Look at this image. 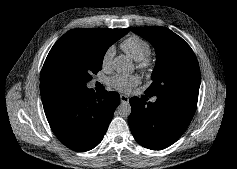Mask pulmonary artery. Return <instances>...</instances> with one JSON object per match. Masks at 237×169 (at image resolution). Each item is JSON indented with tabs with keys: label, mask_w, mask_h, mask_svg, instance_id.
I'll return each mask as SVG.
<instances>
[{
	"label": "pulmonary artery",
	"mask_w": 237,
	"mask_h": 169,
	"mask_svg": "<svg viewBox=\"0 0 237 169\" xmlns=\"http://www.w3.org/2000/svg\"><path fill=\"white\" fill-rule=\"evenodd\" d=\"M156 101V99L155 98H153L152 100H151V102H155Z\"/></svg>",
	"instance_id": "pulmonary-artery-1"
}]
</instances>
